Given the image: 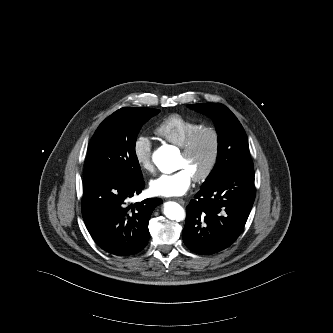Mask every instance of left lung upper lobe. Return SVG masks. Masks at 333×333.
Returning <instances> with one entry per match:
<instances>
[{"mask_svg": "<svg viewBox=\"0 0 333 333\" xmlns=\"http://www.w3.org/2000/svg\"><path fill=\"white\" fill-rule=\"evenodd\" d=\"M188 107L208 115L217 126V161L202 187L216 181L227 172L253 167L246 133L227 107L220 103H201L188 105Z\"/></svg>", "mask_w": 333, "mask_h": 333, "instance_id": "left-lung-upper-lobe-1", "label": "left lung upper lobe"}]
</instances>
